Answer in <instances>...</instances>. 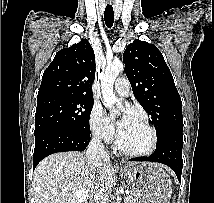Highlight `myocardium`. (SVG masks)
Instances as JSON below:
<instances>
[{"label": "myocardium", "instance_id": "obj_1", "mask_svg": "<svg viewBox=\"0 0 214 203\" xmlns=\"http://www.w3.org/2000/svg\"><path fill=\"white\" fill-rule=\"evenodd\" d=\"M139 122H141L150 132L151 135V142L150 145L148 146L147 149L142 150V151H132L129 149H126L125 147L122 146L121 141H120V131L117 134V139H116V148L123 154L130 156V157H145V156H149L150 154H152L156 147H157V143H158V135L157 132L155 130V128L146 120L144 119H137Z\"/></svg>", "mask_w": 214, "mask_h": 203}]
</instances>
